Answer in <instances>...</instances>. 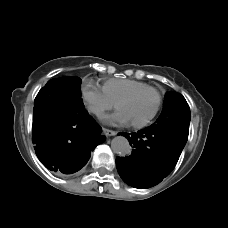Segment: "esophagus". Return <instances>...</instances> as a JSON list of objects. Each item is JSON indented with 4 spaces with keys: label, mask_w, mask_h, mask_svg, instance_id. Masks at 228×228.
<instances>
[{
    "label": "esophagus",
    "mask_w": 228,
    "mask_h": 228,
    "mask_svg": "<svg viewBox=\"0 0 228 228\" xmlns=\"http://www.w3.org/2000/svg\"><path fill=\"white\" fill-rule=\"evenodd\" d=\"M103 132H104L107 136H114V135H116V132H115V131L110 130V129H106V128H103Z\"/></svg>",
    "instance_id": "34e87169"
}]
</instances>
